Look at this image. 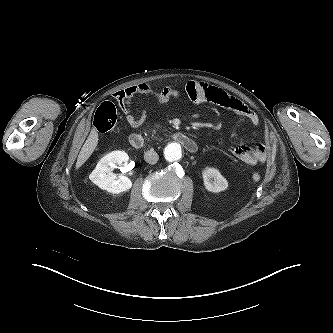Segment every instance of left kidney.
<instances>
[{"label":"left kidney","instance_id":"left-kidney-1","mask_svg":"<svg viewBox=\"0 0 333 333\" xmlns=\"http://www.w3.org/2000/svg\"><path fill=\"white\" fill-rule=\"evenodd\" d=\"M205 188L214 193L224 191L228 187L227 180L216 168H205L202 172Z\"/></svg>","mask_w":333,"mask_h":333}]
</instances>
